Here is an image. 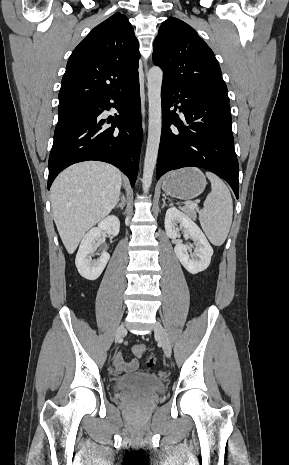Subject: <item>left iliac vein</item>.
Returning <instances> with one entry per match:
<instances>
[{
	"label": "left iliac vein",
	"instance_id": "left-iliac-vein-1",
	"mask_svg": "<svg viewBox=\"0 0 289 465\" xmlns=\"http://www.w3.org/2000/svg\"><path fill=\"white\" fill-rule=\"evenodd\" d=\"M155 335L159 338L160 342L162 343L163 350L167 357L171 355V341L163 326L157 322L154 326Z\"/></svg>",
	"mask_w": 289,
	"mask_h": 465
}]
</instances>
